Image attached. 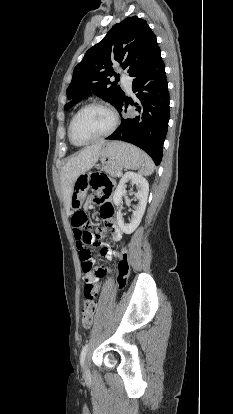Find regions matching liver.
Instances as JSON below:
<instances>
[{
    "label": "liver",
    "instance_id": "1",
    "mask_svg": "<svg viewBox=\"0 0 233 414\" xmlns=\"http://www.w3.org/2000/svg\"><path fill=\"white\" fill-rule=\"evenodd\" d=\"M105 142H98L83 148L77 155L68 159L61 169L60 181L63 192L64 206L67 213L71 208L73 186L77 179L90 170L98 161Z\"/></svg>",
    "mask_w": 233,
    "mask_h": 414
}]
</instances>
